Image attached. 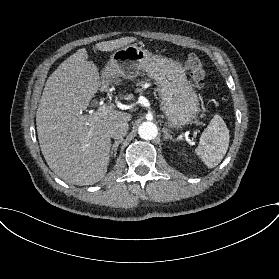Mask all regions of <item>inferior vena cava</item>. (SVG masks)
<instances>
[{
  "instance_id": "602c4592",
  "label": "inferior vena cava",
  "mask_w": 279,
  "mask_h": 279,
  "mask_svg": "<svg viewBox=\"0 0 279 279\" xmlns=\"http://www.w3.org/2000/svg\"><path fill=\"white\" fill-rule=\"evenodd\" d=\"M128 129L129 125L127 122H117L110 127L108 134L111 138L123 139L127 135Z\"/></svg>"
}]
</instances>
